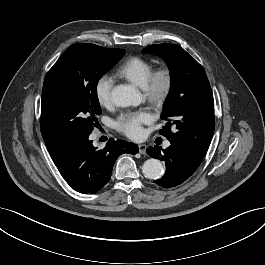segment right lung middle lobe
<instances>
[{
    "mask_svg": "<svg viewBox=\"0 0 265 265\" xmlns=\"http://www.w3.org/2000/svg\"><path fill=\"white\" fill-rule=\"evenodd\" d=\"M124 53V49L74 44L49 70L41 102V133L49 153L91 134L101 114L98 81Z\"/></svg>",
    "mask_w": 265,
    "mask_h": 265,
    "instance_id": "right-lung-middle-lobe-1",
    "label": "right lung middle lobe"
}]
</instances>
